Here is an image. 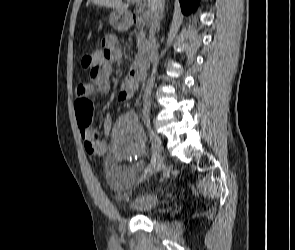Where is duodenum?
<instances>
[{
	"label": "duodenum",
	"mask_w": 295,
	"mask_h": 250,
	"mask_svg": "<svg viewBox=\"0 0 295 250\" xmlns=\"http://www.w3.org/2000/svg\"><path fill=\"white\" fill-rule=\"evenodd\" d=\"M133 20L134 22L141 21L140 16L137 14H133ZM148 66H149V62H148L147 54H143L139 56L138 59L136 60L135 67H134L135 77L138 79L145 78L147 75Z\"/></svg>",
	"instance_id": "410a0bca"
}]
</instances>
